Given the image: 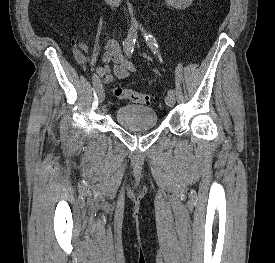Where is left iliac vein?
Instances as JSON below:
<instances>
[{
  "label": "left iliac vein",
  "instance_id": "obj_1",
  "mask_svg": "<svg viewBox=\"0 0 275 263\" xmlns=\"http://www.w3.org/2000/svg\"><path fill=\"white\" fill-rule=\"evenodd\" d=\"M165 103L169 107H173L175 104V96L168 94L165 98Z\"/></svg>",
  "mask_w": 275,
  "mask_h": 263
}]
</instances>
